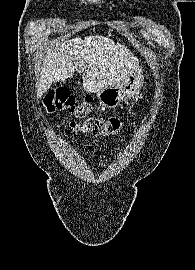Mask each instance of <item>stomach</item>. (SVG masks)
<instances>
[{
  "label": "stomach",
  "instance_id": "0dacf381",
  "mask_svg": "<svg viewBox=\"0 0 195 270\" xmlns=\"http://www.w3.org/2000/svg\"><path fill=\"white\" fill-rule=\"evenodd\" d=\"M142 80V70L137 68L124 82L108 86L99 91L97 97L102 105L115 108L121 101L131 99L138 94L142 85Z\"/></svg>",
  "mask_w": 195,
  "mask_h": 270
}]
</instances>
